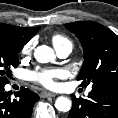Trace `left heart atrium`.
I'll use <instances>...</instances> for the list:
<instances>
[{
  "label": "left heart atrium",
  "mask_w": 118,
  "mask_h": 118,
  "mask_svg": "<svg viewBox=\"0 0 118 118\" xmlns=\"http://www.w3.org/2000/svg\"><path fill=\"white\" fill-rule=\"evenodd\" d=\"M63 70L57 68L51 69H36L28 73V78L46 88H55L57 86L56 80L62 78Z\"/></svg>",
  "instance_id": "obj_1"
}]
</instances>
